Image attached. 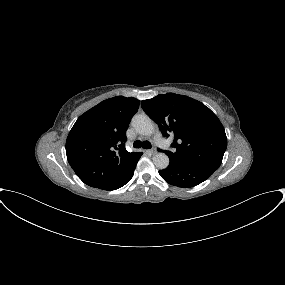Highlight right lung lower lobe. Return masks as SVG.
<instances>
[{
	"label": "right lung lower lobe",
	"instance_id": "98d812e1",
	"mask_svg": "<svg viewBox=\"0 0 285 285\" xmlns=\"http://www.w3.org/2000/svg\"><path fill=\"white\" fill-rule=\"evenodd\" d=\"M134 170H135V168L132 170V172L129 174V176L127 178L123 179L122 181L115 183V184H112V185H109L107 187L101 188V189H103V190H115V189L121 188L127 182H129L130 179L133 177Z\"/></svg>",
	"mask_w": 285,
	"mask_h": 285
}]
</instances>
